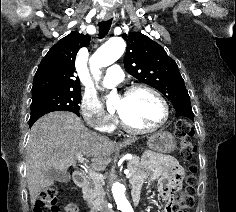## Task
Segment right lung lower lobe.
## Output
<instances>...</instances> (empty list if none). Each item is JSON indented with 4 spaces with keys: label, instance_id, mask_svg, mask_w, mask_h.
Here are the masks:
<instances>
[{
    "label": "right lung lower lobe",
    "instance_id": "obj_1",
    "mask_svg": "<svg viewBox=\"0 0 236 212\" xmlns=\"http://www.w3.org/2000/svg\"><path fill=\"white\" fill-rule=\"evenodd\" d=\"M37 119L35 120H32L31 122H29V126L31 127L33 125V123L36 121Z\"/></svg>",
    "mask_w": 236,
    "mask_h": 212
}]
</instances>
